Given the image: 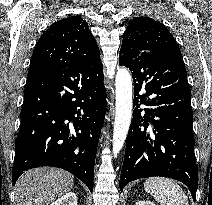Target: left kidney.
Returning <instances> with one entry per match:
<instances>
[{
  "mask_svg": "<svg viewBox=\"0 0 212 205\" xmlns=\"http://www.w3.org/2000/svg\"><path fill=\"white\" fill-rule=\"evenodd\" d=\"M135 205H156V204L151 201H145V200L142 201L141 200V201L136 202Z\"/></svg>",
  "mask_w": 212,
  "mask_h": 205,
  "instance_id": "obj_1",
  "label": "left kidney"
}]
</instances>
